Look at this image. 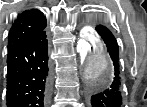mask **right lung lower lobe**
<instances>
[{"label": "right lung lower lobe", "mask_w": 147, "mask_h": 107, "mask_svg": "<svg viewBox=\"0 0 147 107\" xmlns=\"http://www.w3.org/2000/svg\"><path fill=\"white\" fill-rule=\"evenodd\" d=\"M7 107H46L49 92L48 41L43 30L8 49Z\"/></svg>", "instance_id": "1"}]
</instances>
